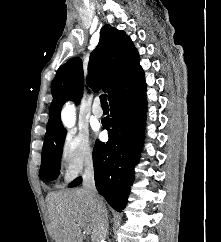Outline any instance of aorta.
Segmentation results:
<instances>
[{
  "mask_svg": "<svg viewBox=\"0 0 221 242\" xmlns=\"http://www.w3.org/2000/svg\"><path fill=\"white\" fill-rule=\"evenodd\" d=\"M62 120L67 127H72L75 121L74 107L70 104H66L62 111Z\"/></svg>",
  "mask_w": 221,
  "mask_h": 242,
  "instance_id": "aorta-1",
  "label": "aorta"
}]
</instances>
